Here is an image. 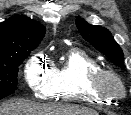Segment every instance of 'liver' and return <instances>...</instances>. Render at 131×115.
<instances>
[{"instance_id":"obj_1","label":"liver","mask_w":131,"mask_h":115,"mask_svg":"<svg viewBox=\"0 0 131 115\" xmlns=\"http://www.w3.org/2000/svg\"><path fill=\"white\" fill-rule=\"evenodd\" d=\"M0 115H98V113L95 110L79 106L10 100L0 106Z\"/></svg>"}]
</instances>
